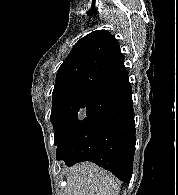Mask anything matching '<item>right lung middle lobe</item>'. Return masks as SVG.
I'll return each instance as SVG.
<instances>
[{
    "mask_svg": "<svg viewBox=\"0 0 178 195\" xmlns=\"http://www.w3.org/2000/svg\"><path fill=\"white\" fill-rule=\"evenodd\" d=\"M96 95L92 93H68L52 98L50 118L54 129V144L57 147L84 117Z\"/></svg>",
    "mask_w": 178,
    "mask_h": 195,
    "instance_id": "1",
    "label": "right lung middle lobe"
}]
</instances>
